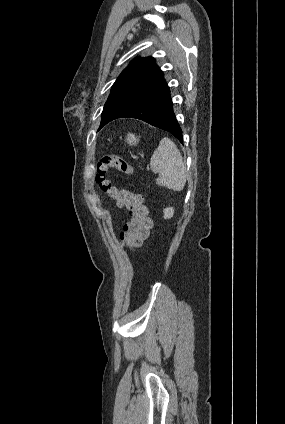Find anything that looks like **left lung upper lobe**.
<instances>
[{
  "label": "left lung upper lobe",
  "instance_id": "1",
  "mask_svg": "<svg viewBox=\"0 0 285 424\" xmlns=\"http://www.w3.org/2000/svg\"><path fill=\"white\" fill-rule=\"evenodd\" d=\"M163 72L155 65L153 57L138 58L133 60L119 75L112 86L110 95L102 111V120L99 129L104 126V121L109 113L130 95L139 91L156 80Z\"/></svg>",
  "mask_w": 285,
  "mask_h": 424
}]
</instances>
